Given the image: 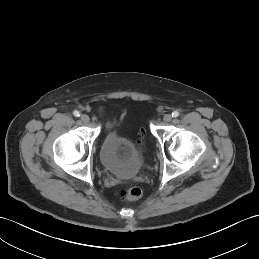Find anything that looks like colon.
Masks as SVG:
<instances>
[{"label":"colon","instance_id":"1","mask_svg":"<svg viewBox=\"0 0 259 259\" xmlns=\"http://www.w3.org/2000/svg\"><path fill=\"white\" fill-rule=\"evenodd\" d=\"M144 137H141L140 144H143ZM119 195L123 200L126 201H136L141 198L142 190L139 187H126L119 191Z\"/></svg>","mask_w":259,"mask_h":259}]
</instances>
